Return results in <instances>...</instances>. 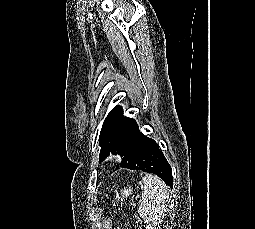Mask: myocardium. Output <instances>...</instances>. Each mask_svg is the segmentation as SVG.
Segmentation results:
<instances>
[{"instance_id":"obj_1","label":"myocardium","mask_w":255,"mask_h":229,"mask_svg":"<svg viewBox=\"0 0 255 229\" xmlns=\"http://www.w3.org/2000/svg\"><path fill=\"white\" fill-rule=\"evenodd\" d=\"M107 160H108L109 162H114L115 157H114L113 155H110V156L107 158Z\"/></svg>"}]
</instances>
